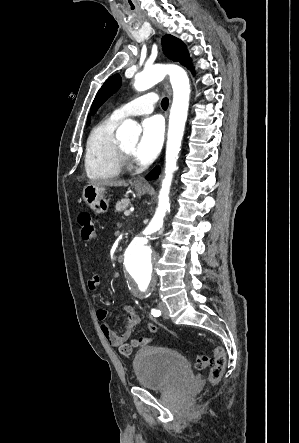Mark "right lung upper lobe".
<instances>
[{
    "mask_svg": "<svg viewBox=\"0 0 299 443\" xmlns=\"http://www.w3.org/2000/svg\"><path fill=\"white\" fill-rule=\"evenodd\" d=\"M87 123H88V124L90 123V118H88V121H87Z\"/></svg>",
    "mask_w": 299,
    "mask_h": 443,
    "instance_id": "cb5924a9",
    "label": "right lung upper lobe"
}]
</instances>
